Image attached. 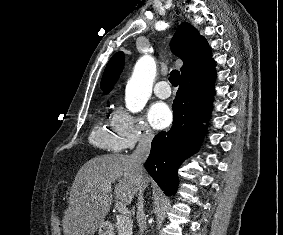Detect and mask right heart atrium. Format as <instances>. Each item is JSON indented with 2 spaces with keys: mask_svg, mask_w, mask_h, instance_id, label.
I'll return each instance as SVG.
<instances>
[{
  "mask_svg": "<svg viewBox=\"0 0 283 235\" xmlns=\"http://www.w3.org/2000/svg\"><path fill=\"white\" fill-rule=\"evenodd\" d=\"M113 121L120 134L123 149L150 143L154 138L152 129L143 118L132 115L123 108L115 112Z\"/></svg>",
  "mask_w": 283,
  "mask_h": 235,
  "instance_id": "d8ad5b80",
  "label": "right heart atrium"
}]
</instances>
